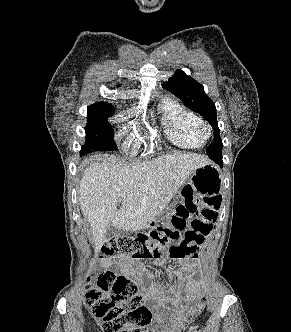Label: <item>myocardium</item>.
Instances as JSON below:
<instances>
[{"label":"myocardium","mask_w":291,"mask_h":332,"mask_svg":"<svg viewBox=\"0 0 291 332\" xmlns=\"http://www.w3.org/2000/svg\"><path fill=\"white\" fill-rule=\"evenodd\" d=\"M200 134L204 139H208L212 135V130L210 126L204 122L201 123L200 125Z\"/></svg>","instance_id":"myocardium-1"}]
</instances>
